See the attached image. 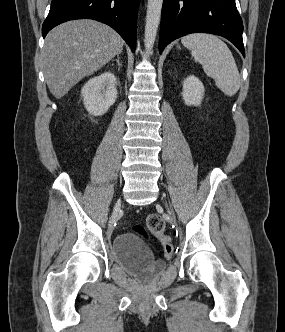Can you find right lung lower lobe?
<instances>
[{"label":"right lung lower lobe","instance_id":"right-lung-lower-lobe-1","mask_svg":"<svg viewBox=\"0 0 285 332\" xmlns=\"http://www.w3.org/2000/svg\"><path fill=\"white\" fill-rule=\"evenodd\" d=\"M140 0H52L42 26V35L74 19H94L111 26L135 51L137 14Z\"/></svg>","mask_w":285,"mask_h":332}]
</instances>
